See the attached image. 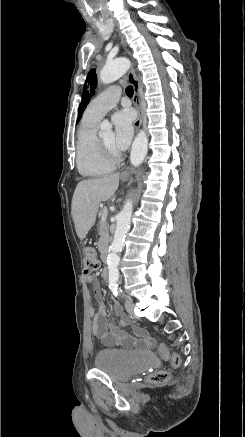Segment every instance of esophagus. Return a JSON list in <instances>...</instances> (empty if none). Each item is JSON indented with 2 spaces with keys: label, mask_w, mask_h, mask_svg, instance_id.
<instances>
[{
  "label": "esophagus",
  "mask_w": 245,
  "mask_h": 437,
  "mask_svg": "<svg viewBox=\"0 0 245 437\" xmlns=\"http://www.w3.org/2000/svg\"><path fill=\"white\" fill-rule=\"evenodd\" d=\"M120 37H121V42L123 44L124 47H126V41L124 36L119 33ZM128 77V81L129 83L133 86L134 89V97H133V102H134V106L137 110L138 113V117L135 121V129L136 131H138V129L141 126L142 123V106H141V88H140V84L138 82V78L134 72V70H130L127 74Z\"/></svg>",
  "instance_id": "obj_1"
}]
</instances>
